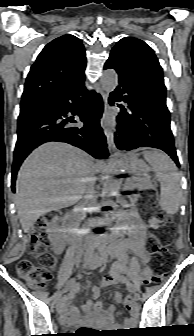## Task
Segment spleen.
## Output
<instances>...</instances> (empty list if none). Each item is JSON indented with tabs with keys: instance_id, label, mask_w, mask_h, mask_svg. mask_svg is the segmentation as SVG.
Listing matches in <instances>:
<instances>
[{
	"instance_id": "obj_1",
	"label": "spleen",
	"mask_w": 194,
	"mask_h": 336,
	"mask_svg": "<svg viewBox=\"0 0 194 336\" xmlns=\"http://www.w3.org/2000/svg\"><path fill=\"white\" fill-rule=\"evenodd\" d=\"M145 160L153 167L160 182V206L168 214H175L180 205V175L173 161L159 150H146Z\"/></svg>"
}]
</instances>
